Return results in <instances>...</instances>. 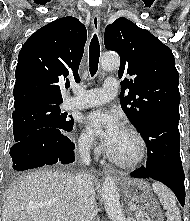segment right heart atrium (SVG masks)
<instances>
[{
    "label": "right heart atrium",
    "mask_w": 190,
    "mask_h": 221,
    "mask_svg": "<svg viewBox=\"0 0 190 221\" xmlns=\"http://www.w3.org/2000/svg\"><path fill=\"white\" fill-rule=\"evenodd\" d=\"M78 148L81 152H98L99 148L97 147L93 137L87 132H82L78 138Z\"/></svg>",
    "instance_id": "obj_1"
}]
</instances>
